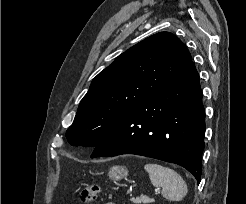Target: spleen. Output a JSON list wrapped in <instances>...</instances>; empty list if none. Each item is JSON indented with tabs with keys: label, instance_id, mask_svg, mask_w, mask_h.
<instances>
[{
	"label": "spleen",
	"instance_id": "obj_1",
	"mask_svg": "<svg viewBox=\"0 0 246 204\" xmlns=\"http://www.w3.org/2000/svg\"><path fill=\"white\" fill-rule=\"evenodd\" d=\"M144 169L148 172L151 183L162 188V195L170 201H181L188 192L187 184L176 171L159 164L147 163Z\"/></svg>",
	"mask_w": 246,
	"mask_h": 204
}]
</instances>
